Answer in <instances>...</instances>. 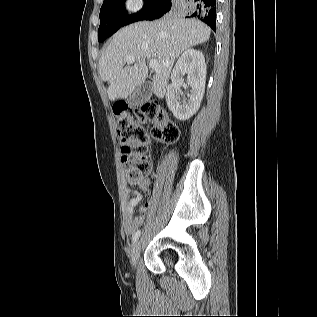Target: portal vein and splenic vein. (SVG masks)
Instances as JSON below:
<instances>
[{
    "mask_svg": "<svg viewBox=\"0 0 317 317\" xmlns=\"http://www.w3.org/2000/svg\"><path fill=\"white\" fill-rule=\"evenodd\" d=\"M126 62L127 63H134L135 62V58L133 55H128L126 57ZM149 67L153 70H156L157 67H158V61L155 60V59H151L150 62H149Z\"/></svg>",
    "mask_w": 317,
    "mask_h": 317,
    "instance_id": "obj_1",
    "label": "portal vein and splenic vein"
}]
</instances>
